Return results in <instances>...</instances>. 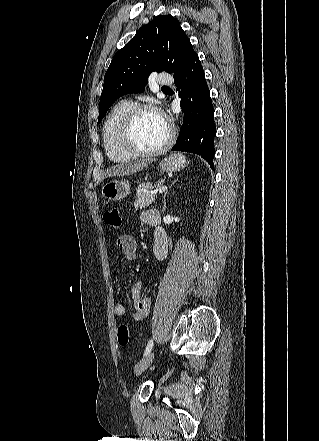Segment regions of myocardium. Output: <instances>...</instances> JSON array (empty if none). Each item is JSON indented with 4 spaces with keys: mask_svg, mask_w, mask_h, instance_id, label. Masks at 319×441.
<instances>
[{
    "mask_svg": "<svg viewBox=\"0 0 319 441\" xmlns=\"http://www.w3.org/2000/svg\"><path fill=\"white\" fill-rule=\"evenodd\" d=\"M143 112H154L159 114L166 122L168 128L167 137L166 140L163 142V144L158 148L150 151H145L138 148L134 144L132 138L135 122L138 116ZM174 139H175V127L173 123L166 117V115L157 106L148 103L136 104L131 107V109L128 111L121 124L120 133H119V141L121 147L134 157H152V156L160 155L170 148Z\"/></svg>",
    "mask_w": 319,
    "mask_h": 441,
    "instance_id": "myocardium-1",
    "label": "myocardium"
}]
</instances>
